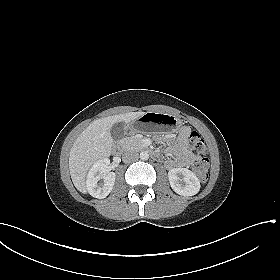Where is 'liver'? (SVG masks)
<instances>
[{
  "instance_id": "liver-1",
  "label": "liver",
  "mask_w": 280,
  "mask_h": 280,
  "mask_svg": "<svg viewBox=\"0 0 280 280\" xmlns=\"http://www.w3.org/2000/svg\"><path fill=\"white\" fill-rule=\"evenodd\" d=\"M145 112H129L94 120L75 140L69 155L72 182L78 191L86 193V176L90 167L100 159L111 155L113 138L110 129L117 122L126 124Z\"/></svg>"
}]
</instances>
